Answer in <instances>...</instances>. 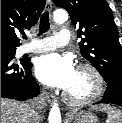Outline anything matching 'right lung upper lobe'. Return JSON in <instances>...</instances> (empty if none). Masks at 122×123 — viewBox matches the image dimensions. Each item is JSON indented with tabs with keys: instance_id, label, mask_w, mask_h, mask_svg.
Masks as SVG:
<instances>
[{
	"instance_id": "cb5924a9",
	"label": "right lung upper lobe",
	"mask_w": 122,
	"mask_h": 123,
	"mask_svg": "<svg viewBox=\"0 0 122 123\" xmlns=\"http://www.w3.org/2000/svg\"><path fill=\"white\" fill-rule=\"evenodd\" d=\"M46 0H1V49H16L18 33L39 19Z\"/></svg>"
}]
</instances>
